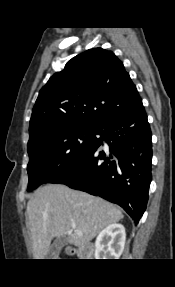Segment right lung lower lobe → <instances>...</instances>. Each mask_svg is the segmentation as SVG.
Here are the masks:
<instances>
[{"label": "right lung lower lobe", "mask_w": 175, "mask_h": 287, "mask_svg": "<svg viewBox=\"0 0 175 287\" xmlns=\"http://www.w3.org/2000/svg\"><path fill=\"white\" fill-rule=\"evenodd\" d=\"M99 135L85 159L49 183L65 184L116 203L137 224L148 201L152 161V135L142 102L102 124ZM103 140L109 152L99 148Z\"/></svg>", "instance_id": "1"}]
</instances>
